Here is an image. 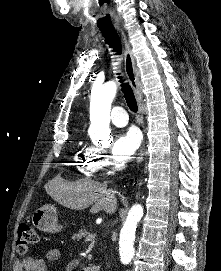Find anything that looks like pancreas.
Instances as JSON below:
<instances>
[{"label": "pancreas", "mask_w": 221, "mask_h": 271, "mask_svg": "<svg viewBox=\"0 0 221 271\" xmlns=\"http://www.w3.org/2000/svg\"><path fill=\"white\" fill-rule=\"evenodd\" d=\"M86 234H92L90 231H86V229H79L78 233H74L72 239L73 242H85Z\"/></svg>", "instance_id": "cf45deb5"}]
</instances>
